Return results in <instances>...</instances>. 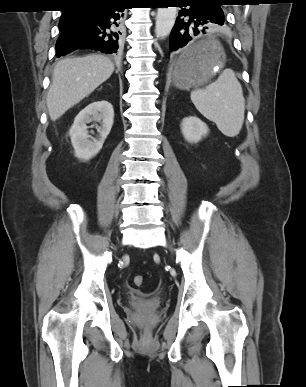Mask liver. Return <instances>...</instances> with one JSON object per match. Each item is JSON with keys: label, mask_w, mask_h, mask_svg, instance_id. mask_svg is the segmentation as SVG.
<instances>
[{"label": "liver", "mask_w": 306, "mask_h": 387, "mask_svg": "<svg viewBox=\"0 0 306 387\" xmlns=\"http://www.w3.org/2000/svg\"><path fill=\"white\" fill-rule=\"evenodd\" d=\"M113 62L106 56L91 54L60 60L53 71L47 95V108L52 121L90 95L110 78Z\"/></svg>", "instance_id": "6515ba94"}]
</instances>
